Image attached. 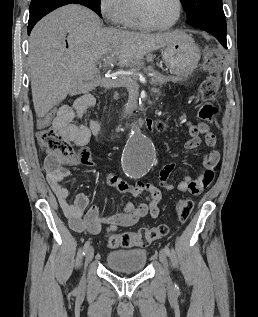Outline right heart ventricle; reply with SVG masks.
Wrapping results in <instances>:
<instances>
[{
    "instance_id": "1",
    "label": "right heart ventricle",
    "mask_w": 258,
    "mask_h": 317,
    "mask_svg": "<svg viewBox=\"0 0 258 317\" xmlns=\"http://www.w3.org/2000/svg\"><path fill=\"white\" fill-rule=\"evenodd\" d=\"M141 0H124L125 2V16L124 25L130 29H139L136 11Z\"/></svg>"
}]
</instances>
